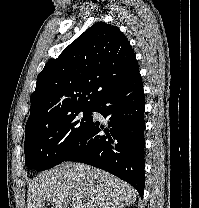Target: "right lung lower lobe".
<instances>
[{
    "mask_svg": "<svg viewBox=\"0 0 199 208\" xmlns=\"http://www.w3.org/2000/svg\"><path fill=\"white\" fill-rule=\"evenodd\" d=\"M141 75L106 93L93 111L108 120V126L93 121L77 148L65 161H78L104 169L144 193V109ZM103 130L105 135H99Z\"/></svg>",
    "mask_w": 199,
    "mask_h": 208,
    "instance_id": "1",
    "label": "right lung lower lobe"
}]
</instances>
